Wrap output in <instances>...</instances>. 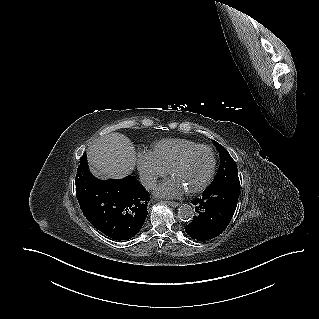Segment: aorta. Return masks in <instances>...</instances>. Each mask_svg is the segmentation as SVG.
I'll return each instance as SVG.
<instances>
[{
	"mask_svg": "<svg viewBox=\"0 0 319 319\" xmlns=\"http://www.w3.org/2000/svg\"><path fill=\"white\" fill-rule=\"evenodd\" d=\"M194 216V209L189 204H182L178 209V218L181 221L188 222Z\"/></svg>",
	"mask_w": 319,
	"mask_h": 319,
	"instance_id": "762f6f07",
	"label": "aorta"
}]
</instances>
